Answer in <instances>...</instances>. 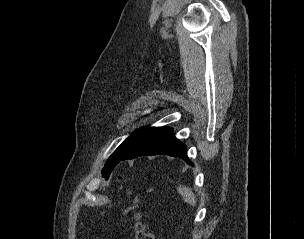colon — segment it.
Masks as SVG:
<instances>
[{
    "label": "colon",
    "mask_w": 304,
    "mask_h": 239,
    "mask_svg": "<svg viewBox=\"0 0 304 239\" xmlns=\"http://www.w3.org/2000/svg\"><path fill=\"white\" fill-rule=\"evenodd\" d=\"M123 180V178H122ZM134 203L136 207L141 204V197L135 196ZM135 239H153L152 233L149 230L148 224L146 223V216L140 210L135 213Z\"/></svg>",
    "instance_id": "5ec220e1"
}]
</instances>
